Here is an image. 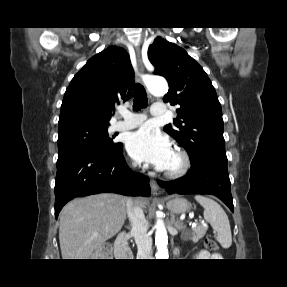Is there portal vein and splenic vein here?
Listing matches in <instances>:
<instances>
[{
  "instance_id": "obj_1",
  "label": "portal vein and splenic vein",
  "mask_w": 287,
  "mask_h": 287,
  "mask_svg": "<svg viewBox=\"0 0 287 287\" xmlns=\"http://www.w3.org/2000/svg\"><path fill=\"white\" fill-rule=\"evenodd\" d=\"M202 224H205L204 221L201 222ZM193 224H197V220H195V222Z\"/></svg>"
}]
</instances>
